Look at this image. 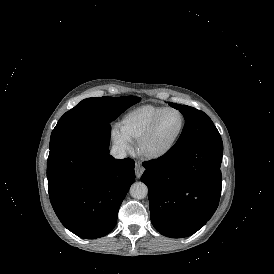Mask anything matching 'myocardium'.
Returning a JSON list of instances; mask_svg holds the SVG:
<instances>
[{
  "label": "myocardium",
  "mask_w": 274,
  "mask_h": 274,
  "mask_svg": "<svg viewBox=\"0 0 274 274\" xmlns=\"http://www.w3.org/2000/svg\"><path fill=\"white\" fill-rule=\"evenodd\" d=\"M169 111H176V112L180 113V115L182 116V126H181L178 134L175 136V138L172 140L170 145L164 151H162L158 154L148 153L144 149V143L148 139V137L154 132V130L156 129V127H157L158 123L160 122V120L162 119V117ZM186 126H187V117H186V115H185V113L182 109H180L178 107H166V108H164L152 120V122L146 127V129L141 133V135L137 139V141H136V151H137L138 156L141 157L142 159H144L146 161H150V162H157V161H161V160L165 159L168 155L171 154V152L176 147L177 143L179 142V140L181 139V137L184 134Z\"/></svg>",
  "instance_id": "1"
}]
</instances>
